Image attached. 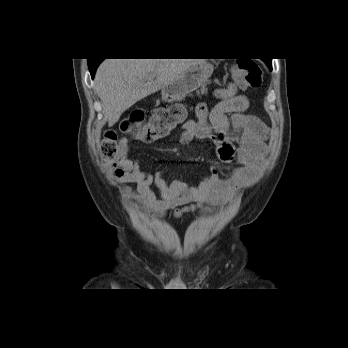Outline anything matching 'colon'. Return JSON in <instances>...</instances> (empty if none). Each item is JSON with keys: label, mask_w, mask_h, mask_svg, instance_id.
<instances>
[{"label": "colon", "mask_w": 348, "mask_h": 348, "mask_svg": "<svg viewBox=\"0 0 348 348\" xmlns=\"http://www.w3.org/2000/svg\"><path fill=\"white\" fill-rule=\"evenodd\" d=\"M238 84L245 88L260 87L263 79L261 67L249 59H239L233 69ZM185 111L182 107H160L147 119L142 108H135L122 120L121 131L131 140L145 143L157 141L168 135L177 125L184 123ZM124 149L116 132H107L101 142V155L106 159L117 157Z\"/></svg>", "instance_id": "5ec220e1"}]
</instances>
